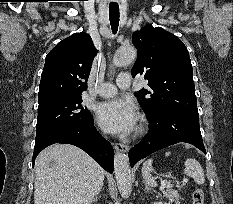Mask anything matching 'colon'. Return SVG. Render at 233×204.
Wrapping results in <instances>:
<instances>
[{
    "instance_id": "5ec220e1",
    "label": "colon",
    "mask_w": 233,
    "mask_h": 204,
    "mask_svg": "<svg viewBox=\"0 0 233 204\" xmlns=\"http://www.w3.org/2000/svg\"><path fill=\"white\" fill-rule=\"evenodd\" d=\"M205 194L201 188H195L192 194L193 204H204Z\"/></svg>"
}]
</instances>
